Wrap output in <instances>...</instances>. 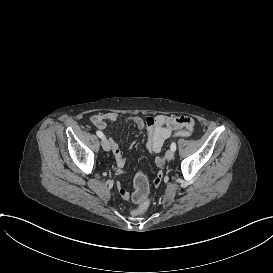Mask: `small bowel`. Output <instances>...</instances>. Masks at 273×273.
<instances>
[{"instance_id": "obj_1", "label": "small bowel", "mask_w": 273, "mask_h": 273, "mask_svg": "<svg viewBox=\"0 0 273 273\" xmlns=\"http://www.w3.org/2000/svg\"><path fill=\"white\" fill-rule=\"evenodd\" d=\"M92 125L99 129L105 130L109 123L126 122L132 123L139 129H146L147 132V149L152 153H158L162 150L165 142L172 136H189L193 132L194 121L187 116L164 115L155 116V124L151 127L147 126L143 118L140 116L122 117L114 112L98 113L91 116ZM111 154L120 168L125 166V156L121 150L120 144L112 137H108ZM158 167L164 166L161 157L155 158ZM163 179V173L157 172L154 177V187L159 188ZM115 189L121 195L124 201L130 200V194L122 187L121 183L115 184Z\"/></svg>"}]
</instances>
